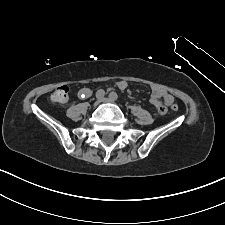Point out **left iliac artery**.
Wrapping results in <instances>:
<instances>
[{
  "label": "left iliac artery",
  "instance_id": "obj_1",
  "mask_svg": "<svg viewBox=\"0 0 225 225\" xmlns=\"http://www.w3.org/2000/svg\"><path fill=\"white\" fill-rule=\"evenodd\" d=\"M109 97H110L111 99H113V100H117V99H118V95H117L116 92H111L110 95H109Z\"/></svg>",
  "mask_w": 225,
  "mask_h": 225
}]
</instances>
